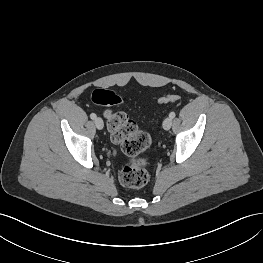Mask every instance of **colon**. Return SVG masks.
Segmentation results:
<instances>
[{"instance_id": "colon-1", "label": "colon", "mask_w": 263, "mask_h": 263, "mask_svg": "<svg viewBox=\"0 0 263 263\" xmlns=\"http://www.w3.org/2000/svg\"><path fill=\"white\" fill-rule=\"evenodd\" d=\"M178 99V95L167 94L162 96L159 102L169 104ZM92 101L102 107H111L122 103L120 96L108 89H96L92 94ZM104 116L111 140L118 144L122 152L130 158L120 170V182L130 188L143 187L148 182L149 173L146 168V160L139 155L150 145L149 134L140 130L137 124L124 112L106 110Z\"/></svg>"}]
</instances>
